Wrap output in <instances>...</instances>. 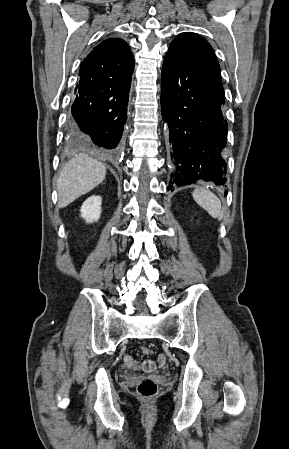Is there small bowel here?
I'll use <instances>...</instances> for the list:
<instances>
[{
  "instance_id": "small-bowel-1",
  "label": "small bowel",
  "mask_w": 289,
  "mask_h": 449,
  "mask_svg": "<svg viewBox=\"0 0 289 449\" xmlns=\"http://www.w3.org/2000/svg\"><path fill=\"white\" fill-rule=\"evenodd\" d=\"M159 357L157 358V364L155 361L153 360H146L142 363L138 362L137 360H135L131 355L126 354L124 356V363L127 367L134 369V370H145V371H153L156 366L159 369H164L167 366L166 363V353L165 352H160Z\"/></svg>"
}]
</instances>
